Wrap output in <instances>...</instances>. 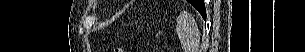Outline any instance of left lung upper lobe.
Here are the masks:
<instances>
[{"label":"left lung upper lobe","instance_id":"1","mask_svg":"<svg viewBox=\"0 0 305 52\" xmlns=\"http://www.w3.org/2000/svg\"><path fill=\"white\" fill-rule=\"evenodd\" d=\"M195 8L199 7L202 2L200 0H188Z\"/></svg>","mask_w":305,"mask_h":52}]
</instances>
